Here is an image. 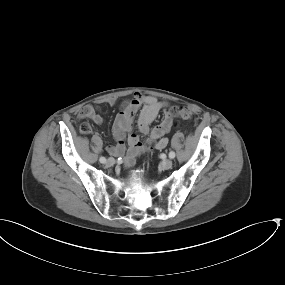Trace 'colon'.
I'll use <instances>...</instances> for the list:
<instances>
[{
  "label": "colon",
  "instance_id": "colon-1",
  "mask_svg": "<svg viewBox=\"0 0 285 285\" xmlns=\"http://www.w3.org/2000/svg\"><path fill=\"white\" fill-rule=\"evenodd\" d=\"M170 114L176 118L189 119L191 117L192 112L187 106H176L170 108Z\"/></svg>",
  "mask_w": 285,
  "mask_h": 285
}]
</instances>
